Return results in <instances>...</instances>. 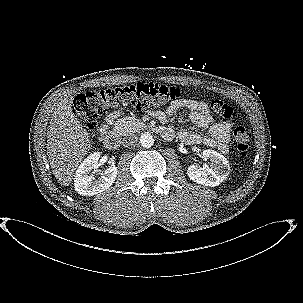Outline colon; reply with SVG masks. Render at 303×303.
Returning a JSON list of instances; mask_svg holds the SVG:
<instances>
[{"label": "colon", "instance_id": "obj_1", "mask_svg": "<svg viewBox=\"0 0 303 303\" xmlns=\"http://www.w3.org/2000/svg\"><path fill=\"white\" fill-rule=\"evenodd\" d=\"M179 88L158 83H137L78 94L73 101V110L89 130L97 127L101 116L119 109L145 110L158 108L180 97ZM212 111L223 120L236 117L234 110L220 100L211 102ZM238 156L245 158L251 134L243 127L233 132Z\"/></svg>", "mask_w": 303, "mask_h": 303}]
</instances>
